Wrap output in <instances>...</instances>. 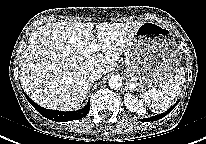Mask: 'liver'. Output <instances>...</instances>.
<instances>
[{
    "instance_id": "1",
    "label": "liver",
    "mask_w": 206,
    "mask_h": 144,
    "mask_svg": "<svg viewBox=\"0 0 206 144\" xmlns=\"http://www.w3.org/2000/svg\"><path fill=\"white\" fill-rule=\"evenodd\" d=\"M142 24L59 21L41 26L31 34L20 61V81L26 94L45 108L78 109L90 90L89 70L96 68L102 74L114 70ZM96 43L102 53L84 54Z\"/></svg>"
}]
</instances>
